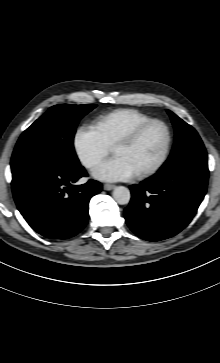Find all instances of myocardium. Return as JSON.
I'll return each instance as SVG.
<instances>
[{"mask_svg":"<svg viewBox=\"0 0 220 363\" xmlns=\"http://www.w3.org/2000/svg\"><path fill=\"white\" fill-rule=\"evenodd\" d=\"M152 125H160L163 127V129L165 130V133H166V142H165L162 154H161L160 158L158 159V161L153 166H151L135 175L136 178H139V179L146 178V177H149V176L157 173L166 163V161L169 157V154H170V150L172 147V140H173L172 131H171L169 125L161 119H150L148 121H145V122L137 125L133 129H131L129 132L122 135L120 138H118L116 140V142L112 146V150H113L116 147L126 146V145H130V144L134 143L139 138V136L148 127H150Z\"/></svg>","mask_w":220,"mask_h":363,"instance_id":"1","label":"myocardium"}]
</instances>
